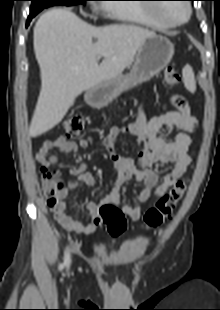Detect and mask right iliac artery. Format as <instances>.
<instances>
[{"instance_id":"obj_1","label":"right iliac artery","mask_w":220,"mask_h":310,"mask_svg":"<svg viewBox=\"0 0 220 310\" xmlns=\"http://www.w3.org/2000/svg\"><path fill=\"white\" fill-rule=\"evenodd\" d=\"M70 261H71V259H70V251H69V249L65 252V260H64V265L66 266V267H69L70 266Z\"/></svg>"}]
</instances>
